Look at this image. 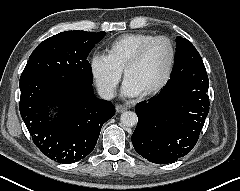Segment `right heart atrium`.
Instances as JSON below:
<instances>
[{"mask_svg": "<svg viewBox=\"0 0 240 191\" xmlns=\"http://www.w3.org/2000/svg\"><path fill=\"white\" fill-rule=\"evenodd\" d=\"M89 68L99 92L107 98H112L116 94L122 70L111 61L108 55L103 53L92 55Z\"/></svg>", "mask_w": 240, "mask_h": 191, "instance_id": "1", "label": "right heart atrium"}]
</instances>
